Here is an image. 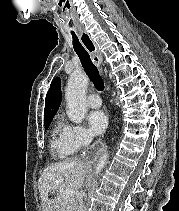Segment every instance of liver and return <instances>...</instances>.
<instances>
[{
  "label": "liver",
  "instance_id": "liver-1",
  "mask_svg": "<svg viewBox=\"0 0 179 211\" xmlns=\"http://www.w3.org/2000/svg\"><path fill=\"white\" fill-rule=\"evenodd\" d=\"M88 172L87 164L80 159L65 160L48 166L42 173L38 182L41 196L42 211H59L58 204L49 198V192L59 186L79 190ZM63 179L64 182L53 187L55 181Z\"/></svg>",
  "mask_w": 179,
  "mask_h": 211
}]
</instances>
